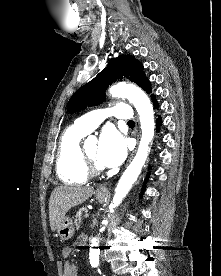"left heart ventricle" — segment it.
I'll use <instances>...</instances> for the list:
<instances>
[{
	"instance_id": "obj_1",
	"label": "left heart ventricle",
	"mask_w": 221,
	"mask_h": 276,
	"mask_svg": "<svg viewBox=\"0 0 221 276\" xmlns=\"http://www.w3.org/2000/svg\"><path fill=\"white\" fill-rule=\"evenodd\" d=\"M86 153L93 158L96 162L97 161V151H98V145L96 143L90 144L85 148Z\"/></svg>"
}]
</instances>
